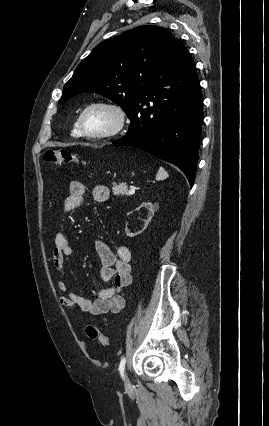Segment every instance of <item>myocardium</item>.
<instances>
[{
    "label": "myocardium",
    "mask_w": 269,
    "mask_h": 426,
    "mask_svg": "<svg viewBox=\"0 0 269 426\" xmlns=\"http://www.w3.org/2000/svg\"><path fill=\"white\" fill-rule=\"evenodd\" d=\"M93 108H104L106 110H109L114 115L115 120H114L113 126L103 132H99V133L89 132L85 128L84 117L86 113ZM126 123H127V115L124 109L120 107L119 105L109 101H95V102L89 103L83 108L77 120V125H78L80 134L86 138L96 139V140L109 139L119 135L124 130Z\"/></svg>",
    "instance_id": "obj_1"
}]
</instances>
